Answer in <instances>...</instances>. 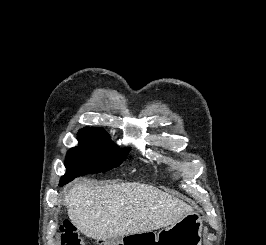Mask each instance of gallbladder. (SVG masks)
<instances>
[{
    "instance_id": "obj_1",
    "label": "gallbladder",
    "mask_w": 266,
    "mask_h": 245,
    "mask_svg": "<svg viewBox=\"0 0 266 245\" xmlns=\"http://www.w3.org/2000/svg\"><path fill=\"white\" fill-rule=\"evenodd\" d=\"M122 241V237H119V239H107L106 243L107 245H119V243H121Z\"/></svg>"
}]
</instances>
